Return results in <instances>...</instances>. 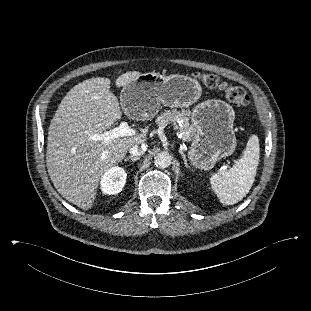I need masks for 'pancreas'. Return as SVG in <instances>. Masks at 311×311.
<instances>
[{"label":"pancreas","instance_id":"obj_1","mask_svg":"<svg viewBox=\"0 0 311 311\" xmlns=\"http://www.w3.org/2000/svg\"><path fill=\"white\" fill-rule=\"evenodd\" d=\"M188 113L186 110L177 111L176 109L165 110L157 116L156 124L162 127L173 123L175 128H179L182 134V140L185 142L191 141L196 134V129L193 124L189 123ZM178 122H181L179 125Z\"/></svg>","mask_w":311,"mask_h":311}]
</instances>
